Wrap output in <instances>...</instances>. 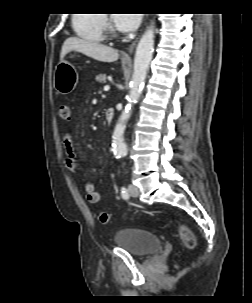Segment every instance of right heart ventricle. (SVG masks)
I'll return each mask as SVG.
<instances>
[{
	"label": "right heart ventricle",
	"instance_id": "obj_1",
	"mask_svg": "<svg viewBox=\"0 0 252 303\" xmlns=\"http://www.w3.org/2000/svg\"><path fill=\"white\" fill-rule=\"evenodd\" d=\"M73 26L81 36L95 40L105 37L106 21L103 14H77L73 18Z\"/></svg>",
	"mask_w": 252,
	"mask_h": 303
}]
</instances>
